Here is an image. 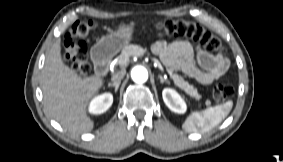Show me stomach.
<instances>
[{"label": "stomach", "instance_id": "0dacf381", "mask_svg": "<svg viewBox=\"0 0 283 162\" xmlns=\"http://www.w3.org/2000/svg\"><path fill=\"white\" fill-rule=\"evenodd\" d=\"M134 24L122 23L115 31L103 36L93 47L92 51L99 59L110 58L124 49L132 40Z\"/></svg>", "mask_w": 283, "mask_h": 162}]
</instances>
